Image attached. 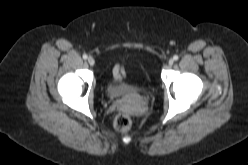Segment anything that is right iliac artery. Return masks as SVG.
Returning <instances> with one entry per match:
<instances>
[{"instance_id": "82829eb1", "label": "right iliac artery", "mask_w": 248, "mask_h": 165, "mask_svg": "<svg viewBox=\"0 0 248 165\" xmlns=\"http://www.w3.org/2000/svg\"><path fill=\"white\" fill-rule=\"evenodd\" d=\"M87 57H88V56H87L86 54H84V55H83V59H85V60H86V59H87Z\"/></svg>"}]
</instances>
